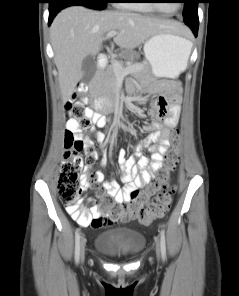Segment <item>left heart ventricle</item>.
<instances>
[{"mask_svg": "<svg viewBox=\"0 0 239 296\" xmlns=\"http://www.w3.org/2000/svg\"><path fill=\"white\" fill-rule=\"evenodd\" d=\"M158 5L162 8V10L166 12H173L177 8V3H172L169 1L159 0Z\"/></svg>", "mask_w": 239, "mask_h": 296, "instance_id": "b2bd125f", "label": "left heart ventricle"}]
</instances>
